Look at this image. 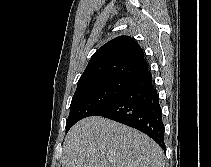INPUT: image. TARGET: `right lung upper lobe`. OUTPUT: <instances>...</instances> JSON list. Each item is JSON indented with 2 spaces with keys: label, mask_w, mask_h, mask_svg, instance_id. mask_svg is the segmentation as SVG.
Returning <instances> with one entry per match:
<instances>
[{
  "label": "right lung upper lobe",
  "mask_w": 211,
  "mask_h": 167,
  "mask_svg": "<svg viewBox=\"0 0 211 167\" xmlns=\"http://www.w3.org/2000/svg\"><path fill=\"white\" fill-rule=\"evenodd\" d=\"M147 68L139 44L129 36H119L92 55L77 85L101 78H131Z\"/></svg>",
  "instance_id": "obj_1"
}]
</instances>
